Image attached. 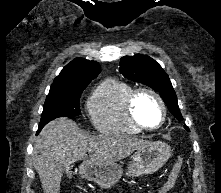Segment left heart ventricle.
<instances>
[{"instance_id":"b2bd125f","label":"left heart ventricle","mask_w":221,"mask_h":193,"mask_svg":"<svg viewBox=\"0 0 221 193\" xmlns=\"http://www.w3.org/2000/svg\"><path fill=\"white\" fill-rule=\"evenodd\" d=\"M135 115L144 125L155 127L161 120V109L154 97L141 94L135 103Z\"/></svg>"}]
</instances>
